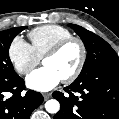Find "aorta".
Masks as SVG:
<instances>
[{"mask_svg": "<svg viewBox=\"0 0 119 119\" xmlns=\"http://www.w3.org/2000/svg\"><path fill=\"white\" fill-rule=\"evenodd\" d=\"M45 108L48 113H57L60 109V104L57 100L51 99L45 103Z\"/></svg>", "mask_w": 119, "mask_h": 119, "instance_id": "762f6f07", "label": "aorta"}]
</instances>
